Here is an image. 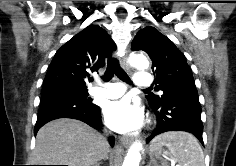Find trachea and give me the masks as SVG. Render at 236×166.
<instances>
[{
    "label": "trachea",
    "instance_id": "1",
    "mask_svg": "<svg viewBox=\"0 0 236 166\" xmlns=\"http://www.w3.org/2000/svg\"><path fill=\"white\" fill-rule=\"evenodd\" d=\"M116 75L120 80L123 82L131 84V80L127 73L120 67L119 62L117 59L110 58V60L107 63V69L105 71L103 80L109 81L112 79V77ZM149 90V89H147Z\"/></svg>",
    "mask_w": 236,
    "mask_h": 166
}]
</instances>
